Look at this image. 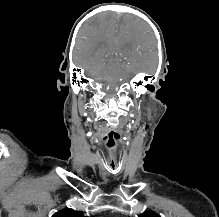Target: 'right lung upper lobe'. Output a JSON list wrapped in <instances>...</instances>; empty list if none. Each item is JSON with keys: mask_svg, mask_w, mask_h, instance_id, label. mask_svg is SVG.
I'll return each mask as SVG.
<instances>
[{"mask_svg": "<svg viewBox=\"0 0 219 217\" xmlns=\"http://www.w3.org/2000/svg\"><path fill=\"white\" fill-rule=\"evenodd\" d=\"M52 217H84V214L81 211L67 209L56 212Z\"/></svg>", "mask_w": 219, "mask_h": 217, "instance_id": "1", "label": "right lung upper lobe"}]
</instances>
